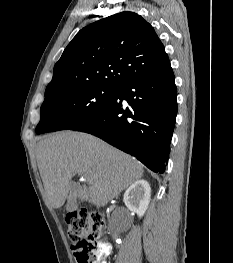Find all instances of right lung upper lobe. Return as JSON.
<instances>
[{
  "label": "right lung upper lobe",
  "mask_w": 233,
  "mask_h": 263,
  "mask_svg": "<svg viewBox=\"0 0 233 263\" xmlns=\"http://www.w3.org/2000/svg\"><path fill=\"white\" fill-rule=\"evenodd\" d=\"M170 67L154 28L134 12H120L76 34L54 66L45 98L93 85L117 88Z\"/></svg>",
  "instance_id": "obj_1"
}]
</instances>
